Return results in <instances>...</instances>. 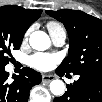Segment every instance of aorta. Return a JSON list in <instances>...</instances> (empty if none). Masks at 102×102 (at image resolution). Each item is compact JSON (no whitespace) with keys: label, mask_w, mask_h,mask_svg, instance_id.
<instances>
[{"label":"aorta","mask_w":102,"mask_h":102,"mask_svg":"<svg viewBox=\"0 0 102 102\" xmlns=\"http://www.w3.org/2000/svg\"><path fill=\"white\" fill-rule=\"evenodd\" d=\"M30 46L38 51L49 48L51 41L49 36L43 31H35L29 38ZM50 91L55 96H61L65 92V84L62 80L56 79L50 83Z\"/></svg>","instance_id":"obj_1"}]
</instances>
